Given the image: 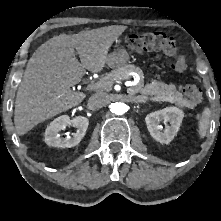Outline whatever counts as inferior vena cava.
<instances>
[{
	"label": "inferior vena cava",
	"instance_id": "obj_1",
	"mask_svg": "<svg viewBox=\"0 0 221 221\" xmlns=\"http://www.w3.org/2000/svg\"><path fill=\"white\" fill-rule=\"evenodd\" d=\"M88 103L91 108H101L109 103V97L105 93H96L89 98Z\"/></svg>",
	"mask_w": 221,
	"mask_h": 221
}]
</instances>
